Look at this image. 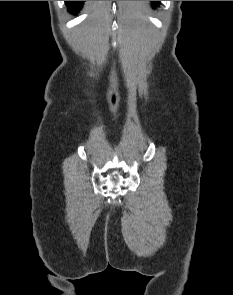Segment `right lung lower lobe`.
Here are the masks:
<instances>
[{
	"label": "right lung lower lobe",
	"mask_w": 233,
	"mask_h": 295,
	"mask_svg": "<svg viewBox=\"0 0 233 295\" xmlns=\"http://www.w3.org/2000/svg\"><path fill=\"white\" fill-rule=\"evenodd\" d=\"M70 12L74 13L81 9L83 1H65Z\"/></svg>",
	"instance_id": "98d812e1"
}]
</instances>
